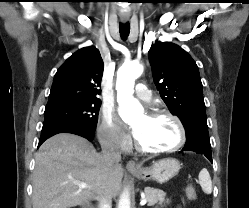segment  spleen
I'll list each match as a JSON object with an SVG mask.
<instances>
[{
	"label": "spleen",
	"instance_id": "1",
	"mask_svg": "<svg viewBox=\"0 0 249 208\" xmlns=\"http://www.w3.org/2000/svg\"><path fill=\"white\" fill-rule=\"evenodd\" d=\"M199 184L202 187V190L206 194H211L212 192V181L209 172L207 169H202L199 173Z\"/></svg>",
	"mask_w": 249,
	"mask_h": 208
}]
</instances>
